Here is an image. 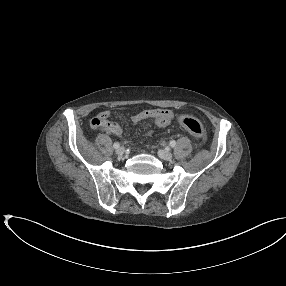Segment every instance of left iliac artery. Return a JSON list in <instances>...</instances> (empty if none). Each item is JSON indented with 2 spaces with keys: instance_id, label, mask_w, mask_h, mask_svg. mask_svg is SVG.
<instances>
[{
  "instance_id": "44dca946",
  "label": "left iliac artery",
  "mask_w": 286,
  "mask_h": 286,
  "mask_svg": "<svg viewBox=\"0 0 286 286\" xmlns=\"http://www.w3.org/2000/svg\"><path fill=\"white\" fill-rule=\"evenodd\" d=\"M169 145H170L171 147H175L176 142H175L174 140H172V141H170Z\"/></svg>"
}]
</instances>
